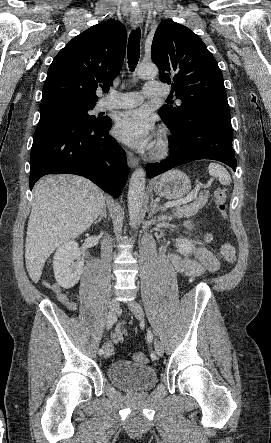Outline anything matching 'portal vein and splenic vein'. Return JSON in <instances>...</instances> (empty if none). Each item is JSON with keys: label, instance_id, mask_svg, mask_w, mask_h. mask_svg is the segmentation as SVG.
<instances>
[{"label": "portal vein and splenic vein", "instance_id": "obj_1", "mask_svg": "<svg viewBox=\"0 0 271 443\" xmlns=\"http://www.w3.org/2000/svg\"><path fill=\"white\" fill-rule=\"evenodd\" d=\"M197 191L192 189L188 191L187 198H182V200H176V202H167L164 204V208H173V206H179V204H188V202H192V200L196 199Z\"/></svg>", "mask_w": 271, "mask_h": 443}]
</instances>
